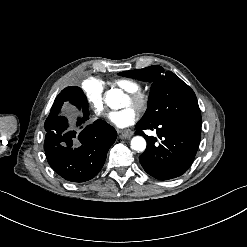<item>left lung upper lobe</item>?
<instances>
[{
	"instance_id": "1",
	"label": "left lung upper lobe",
	"mask_w": 247,
	"mask_h": 247,
	"mask_svg": "<svg viewBox=\"0 0 247 247\" xmlns=\"http://www.w3.org/2000/svg\"><path fill=\"white\" fill-rule=\"evenodd\" d=\"M119 75L151 82L148 109L140 125L181 120L201 126V112L193 90L174 73L164 72L161 66L124 71Z\"/></svg>"
}]
</instances>
